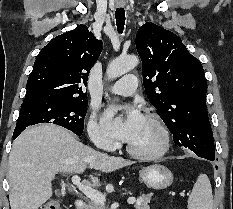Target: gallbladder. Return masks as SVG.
<instances>
[{"label":"gallbladder","instance_id":"bac80fb5","mask_svg":"<svg viewBox=\"0 0 233 209\" xmlns=\"http://www.w3.org/2000/svg\"><path fill=\"white\" fill-rule=\"evenodd\" d=\"M56 194H60V191H55Z\"/></svg>","mask_w":233,"mask_h":209}]
</instances>
